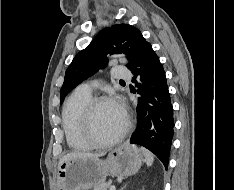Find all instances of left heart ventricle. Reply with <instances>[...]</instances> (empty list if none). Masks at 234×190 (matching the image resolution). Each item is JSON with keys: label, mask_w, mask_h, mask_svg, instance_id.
<instances>
[{"label": "left heart ventricle", "mask_w": 234, "mask_h": 190, "mask_svg": "<svg viewBox=\"0 0 234 190\" xmlns=\"http://www.w3.org/2000/svg\"><path fill=\"white\" fill-rule=\"evenodd\" d=\"M125 117L113 102L101 104L93 117V131L98 139L106 140L121 131Z\"/></svg>", "instance_id": "1"}]
</instances>
